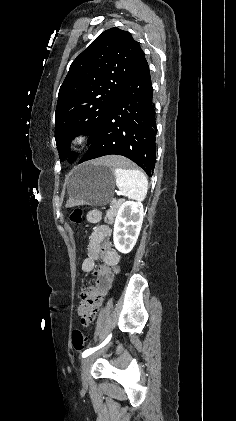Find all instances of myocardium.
<instances>
[{
	"instance_id": "1",
	"label": "myocardium",
	"mask_w": 236,
	"mask_h": 421,
	"mask_svg": "<svg viewBox=\"0 0 236 421\" xmlns=\"http://www.w3.org/2000/svg\"><path fill=\"white\" fill-rule=\"evenodd\" d=\"M88 140V135L85 132H79L73 135L67 144V149L70 152H77L85 146Z\"/></svg>"
}]
</instances>
